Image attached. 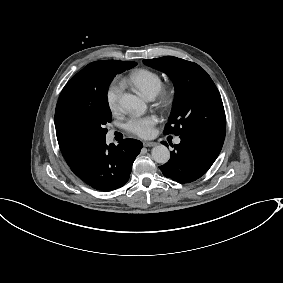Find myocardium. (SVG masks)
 I'll return each instance as SVG.
<instances>
[{"mask_svg":"<svg viewBox=\"0 0 283 283\" xmlns=\"http://www.w3.org/2000/svg\"><path fill=\"white\" fill-rule=\"evenodd\" d=\"M155 96L159 106L163 108L167 107L170 102V91L167 88H160Z\"/></svg>","mask_w":283,"mask_h":283,"instance_id":"f54148a6","label":"myocardium"}]
</instances>
